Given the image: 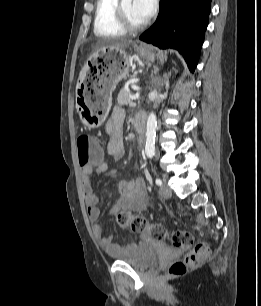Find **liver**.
Returning a JSON list of instances; mask_svg holds the SVG:
<instances>
[{
    "instance_id": "1",
    "label": "liver",
    "mask_w": 261,
    "mask_h": 306,
    "mask_svg": "<svg viewBox=\"0 0 261 306\" xmlns=\"http://www.w3.org/2000/svg\"><path fill=\"white\" fill-rule=\"evenodd\" d=\"M129 44H130V41H115V42L107 43L100 50L124 49V48L128 47Z\"/></svg>"
}]
</instances>
